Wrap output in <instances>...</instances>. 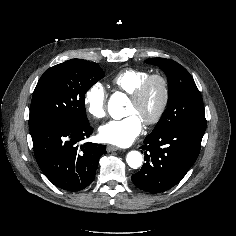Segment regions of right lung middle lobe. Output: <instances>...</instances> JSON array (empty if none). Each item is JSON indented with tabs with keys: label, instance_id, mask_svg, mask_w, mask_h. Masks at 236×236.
Returning <instances> with one entry per match:
<instances>
[{
	"label": "right lung middle lobe",
	"instance_id": "obj_1",
	"mask_svg": "<svg viewBox=\"0 0 236 236\" xmlns=\"http://www.w3.org/2000/svg\"><path fill=\"white\" fill-rule=\"evenodd\" d=\"M104 77L98 64L71 59L46 70L33 93L29 121L87 122L85 93Z\"/></svg>",
	"mask_w": 236,
	"mask_h": 236
}]
</instances>
